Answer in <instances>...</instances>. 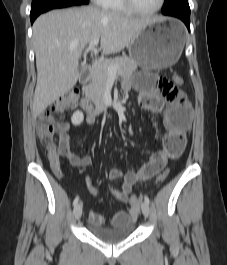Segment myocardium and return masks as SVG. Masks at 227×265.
I'll return each instance as SVG.
<instances>
[{
  "instance_id": "1",
  "label": "myocardium",
  "mask_w": 227,
  "mask_h": 265,
  "mask_svg": "<svg viewBox=\"0 0 227 265\" xmlns=\"http://www.w3.org/2000/svg\"><path fill=\"white\" fill-rule=\"evenodd\" d=\"M122 1L124 3L125 7L129 10V12L137 14V15L155 14L158 11H160L165 4V0H159V3L155 8H153L151 10H140L134 5L133 0H122Z\"/></svg>"
}]
</instances>
